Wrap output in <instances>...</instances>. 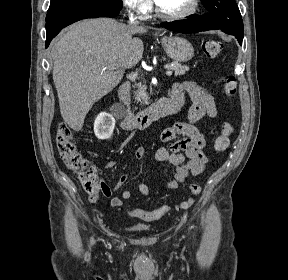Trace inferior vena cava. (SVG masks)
<instances>
[{
	"mask_svg": "<svg viewBox=\"0 0 288 280\" xmlns=\"http://www.w3.org/2000/svg\"><path fill=\"white\" fill-rule=\"evenodd\" d=\"M129 24L130 25H134V26H137L139 24V21L133 17L132 15L129 16Z\"/></svg>",
	"mask_w": 288,
	"mask_h": 280,
	"instance_id": "inferior-vena-cava-1",
	"label": "inferior vena cava"
}]
</instances>
